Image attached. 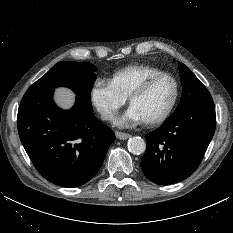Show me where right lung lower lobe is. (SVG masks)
Returning <instances> with one entry per match:
<instances>
[{
    "label": "right lung lower lobe",
    "mask_w": 233,
    "mask_h": 233,
    "mask_svg": "<svg viewBox=\"0 0 233 233\" xmlns=\"http://www.w3.org/2000/svg\"><path fill=\"white\" fill-rule=\"evenodd\" d=\"M53 90H27L18 109L19 137L45 179L77 187L98 172L115 135L78 99L70 110L58 108Z\"/></svg>",
    "instance_id": "right-lung-lower-lobe-1"
}]
</instances>
